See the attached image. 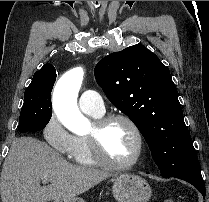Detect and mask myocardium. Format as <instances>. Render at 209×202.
<instances>
[{"mask_svg": "<svg viewBox=\"0 0 209 202\" xmlns=\"http://www.w3.org/2000/svg\"><path fill=\"white\" fill-rule=\"evenodd\" d=\"M123 121L133 130L137 138V149L134 158L128 163H118L111 160L105 153L102 145V136L107 127L115 122ZM87 140L95 160L103 166L115 170H129L136 167L143 158L145 150V139L139 125L128 115L114 113L99 117L95 120L91 133L87 135Z\"/></svg>", "mask_w": 209, "mask_h": 202, "instance_id": "1", "label": "myocardium"}]
</instances>
